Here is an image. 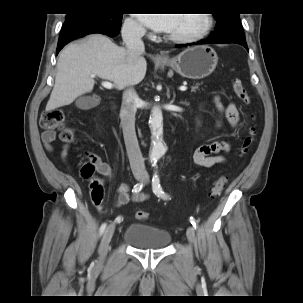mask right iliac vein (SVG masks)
Wrapping results in <instances>:
<instances>
[{
	"mask_svg": "<svg viewBox=\"0 0 303 303\" xmlns=\"http://www.w3.org/2000/svg\"><path fill=\"white\" fill-rule=\"evenodd\" d=\"M135 178L137 180H140L142 178V174H136ZM114 231H115V224L112 223L106 228V230L104 232V235L102 237L100 247H99V261L101 263L104 262V259L107 255L108 246L113 237Z\"/></svg>",
	"mask_w": 303,
	"mask_h": 303,
	"instance_id": "right-iliac-vein-1",
	"label": "right iliac vein"
}]
</instances>
